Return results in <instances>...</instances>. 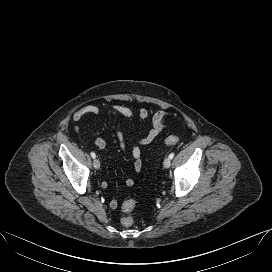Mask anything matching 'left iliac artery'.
<instances>
[{"label":"left iliac artery","mask_w":272,"mask_h":272,"mask_svg":"<svg viewBox=\"0 0 272 272\" xmlns=\"http://www.w3.org/2000/svg\"><path fill=\"white\" fill-rule=\"evenodd\" d=\"M174 156H175V154H174V153H171V154L169 155V158H170V159H173Z\"/></svg>","instance_id":"1"}]
</instances>
